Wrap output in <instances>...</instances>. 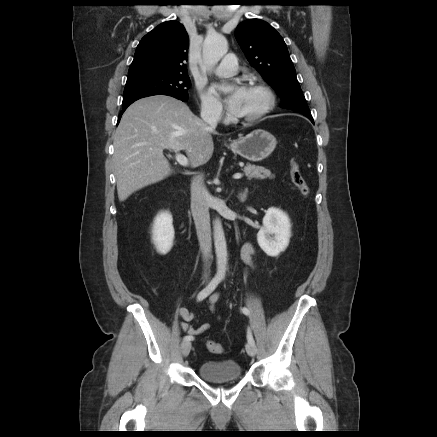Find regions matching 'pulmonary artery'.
<instances>
[{
	"instance_id": "obj_1",
	"label": "pulmonary artery",
	"mask_w": 437,
	"mask_h": 437,
	"mask_svg": "<svg viewBox=\"0 0 437 437\" xmlns=\"http://www.w3.org/2000/svg\"><path fill=\"white\" fill-rule=\"evenodd\" d=\"M238 63L234 54H227L220 64L215 68L216 75L221 77H229L236 74Z\"/></svg>"
}]
</instances>
